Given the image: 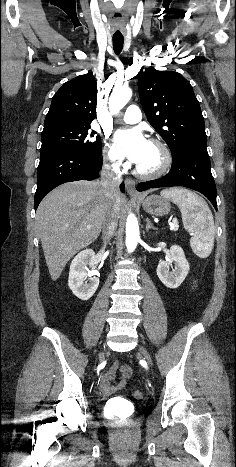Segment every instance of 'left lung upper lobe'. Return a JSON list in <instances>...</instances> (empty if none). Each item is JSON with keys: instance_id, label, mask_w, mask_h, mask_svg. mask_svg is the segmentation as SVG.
I'll return each instance as SVG.
<instances>
[{"instance_id": "5c2ea615", "label": "left lung upper lobe", "mask_w": 236, "mask_h": 467, "mask_svg": "<svg viewBox=\"0 0 236 467\" xmlns=\"http://www.w3.org/2000/svg\"><path fill=\"white\" fill-rule=\"evenodd\" d=\"M138 90L148 122L173 158L188 144L207 141L199 102L180 73L148 69L139 78Z\"/></svg>"}]
</instances>
